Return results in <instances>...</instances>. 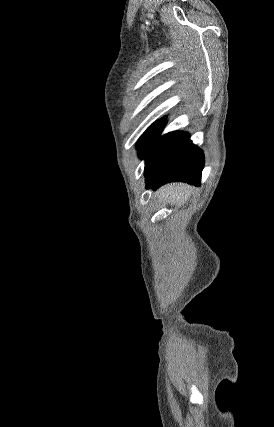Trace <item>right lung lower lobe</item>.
I'll return each instance as SVG.
<instances>
[{
  "mask_svg": "<svg viewBox=\"0 0 274 427\" xmlns=\"http://www.w3.org/2000/svg\"><path fill=\"white\" fill-rule=\"evenodd\" d=\"M144 158L147 189L156 190L172 181L200 185L204 155L185 132L176 131L158 138Z\"/></svg>",
  "mask_w": 274,
  "mask_h": 427,
  "instance_id": "1",
  "label": "right lung lower lobe"
}]
</instances>
